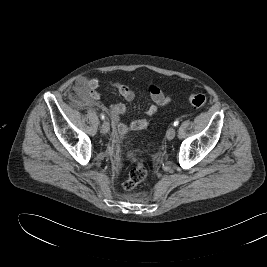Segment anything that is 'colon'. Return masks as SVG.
Here are the masks:
<instances>
[{
	"label": "colon",
	"mask_w": 267,
	"mask_h": 267,
	"mask_svg": "<svg viewBox=\"0 0 267 267\" xmlns=\"http://www.w3.org/2000/svg\"><path fill=\"white\" fill-rule=\"evenodd\" d=\"M189 103L194 108H201L206 104V97L201 93L191 94L189 96ZM127 157L136 164L130 170L127 179L123 183V187L125 190H132L146 179L147 169L141 162L137 160L134 152L129 151L127 153Z\"/></svg>",
	"instance_id": "5ec220e1"
}]
</instances>
